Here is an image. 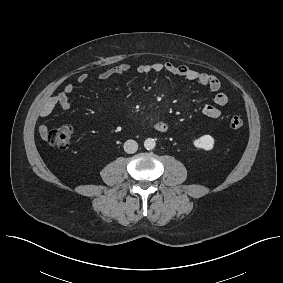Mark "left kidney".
I'll return each instance as SVG.
<instances>
[{
	"instance_id": "5707ae66",
	"label": "left kidney",
	"mask_w": 283,
	"mask_h": 283,
	"mask_svg": "<svg viewBox=\"0 0 283 283\" xmlns=\"http://www.w3.org/2000/svg\"><path fill=\"white\" fill-rule=\"evenodd\" d=\"M215 140L211 135H203L193 141L196 148L203 149L206 151L212 150L214 147Z\"/></svg>"
}]
</instances>
